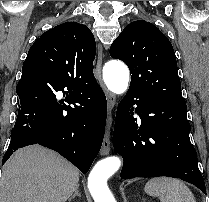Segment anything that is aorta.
I'll list each match as a JSON object with an SVG mask.
<instances>
[{
  "mask_svg": "<svg viewBox=\"0 0 209 202\" xmlns=\"http://www.w3.org/2000/svg\"><path fill=\"white\" fill-rule=\"evenodd\" d=\"M103 79L110 91L122 94L128 88L129 70L119 61L108 62L103 69ZM121 161L116 156H110L98 161L88 177V189L95 202H116L107 186V180L120 167Z\"/></svg>",
  "mask_w": 209,
  "mask_h": 202,
  "instance_id": "1",
  "label": "aorta"
}]
</instances>
